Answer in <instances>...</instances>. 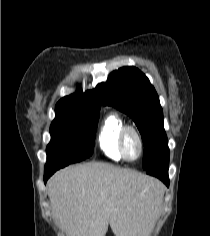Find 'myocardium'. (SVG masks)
<instances>
[{
	"mask_svg": "<svg viewBox=\"0 0 210 236\" xmlns=\"http://www.w3.org/2000/svg\"><path fill=\"white\" fill-rule=\"evenodd\" d=\"M129 133L134 134L138 140V143H139V152L135 158H129L126 154V151H125V138ZM118 146H119L120 153H121L124 160L129 161V162H133V161L138 160L141 157V155L143 153V149H144V142H143V138H142L141 133L139 132V130L135 126L124 125L119 133Z\"/></svg>",
	"mask_w": 210,
	"mask_h": 236,
	"instance_id": "obj_1",
	"label": "myocardium"
}]
</instances>
